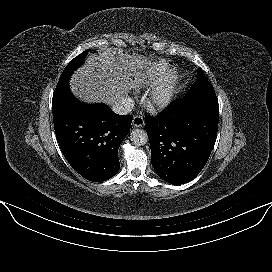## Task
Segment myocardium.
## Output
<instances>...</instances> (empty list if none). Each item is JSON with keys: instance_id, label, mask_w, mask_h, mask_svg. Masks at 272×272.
I'll use <instances>...</instances> for the list:
<instances>
[{"instance_id": "obj_1", "label": "myocardium", "mask_w": 272, "mask_h": 272, "mask_svg": "<svg viewBox=\"0 0 272 272\" xmlns=\"http://www.w3.org/2000/svg\"><path fill=\"white\" fill-rule=\"evenodd\" d=\"M178 74L175 70L168 71L162 80L149 92L146 103L151 109H163L171 104L175 95Z\"/></svg>"}]
</instances>
